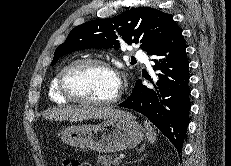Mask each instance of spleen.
I'll return each mask as SVG.
<instances>
[{"label":"spleen","mask_w":231,"mask_h":166,"mask_svg":"<svg viewBox=\"0 0 231 166\" xmlns=\"http://www.w3.org/2000/svg\"><path fill=\"white\" fill-rule=\"evenodd\" d=\"M144 126H145V129H146L147 139L151 144H153L156 141L157 134L154 131L153 127L151 126L150 122L145 121Z\"/></svg>","instance_id":"1"}]
</instances>
